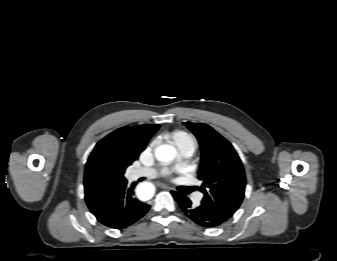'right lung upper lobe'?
<instances>
[{"instance_id":"cb5924a9","label":"right lung upper lobe","mask_w":337,"mask_h":261,"mask_svg":"<svg viewBox=\"0 0 337 261\" xmlns=\"http://www.w3.org/2000/svg\"><path fill=\"white\" fill-rule=\"evenodd\" d=\"M160 125L123 127L100 140L85 167V201L92 213L98 212L109 197L127 183L124 173L138 159Z\"/></svg>"}]
</instances>
